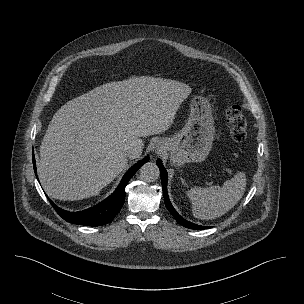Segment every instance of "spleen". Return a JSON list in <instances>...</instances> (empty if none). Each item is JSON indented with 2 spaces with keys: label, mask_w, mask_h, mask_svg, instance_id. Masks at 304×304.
<instances>
[{
  "label": "spleen",
  "mask_w": 304,
  "mask_h": 304,
  "mask_svg": "<svg viewBox=\"0 0 304 304\" xmlns=\"http://www.w3.org/2000/svg\"><path fill=\"white\" fill-rule=\"evenodd\" d=\"M246 177L238 172L234 178L227 180L222 187H194L187 192L192 202L193 215L199 219H215L232 209L244 195Z\"/></svg>",
  "instance_id": "1"
}]
</instances>
